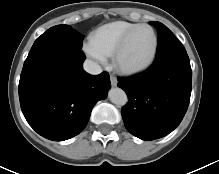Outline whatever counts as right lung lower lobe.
<instances>
[{"mask_svg": "<svg viewBox=\"0 0 219 174\" xmlns=\"http://www.w3.org/2000/svg\"><path fill=\"white\" fill-rule=\"evenodd\" d=\"M81 49L56 46L25 61L19 82L21 110L41 136L63 141L87 125L94 105L107 96L109 74L83 70Z\"/></svg>", "mask_w": 219, "mask_h": 174, "instance_id": "right-lung-lower-lobe-1", "label": "right lung lower lobe"}]
</instances>
